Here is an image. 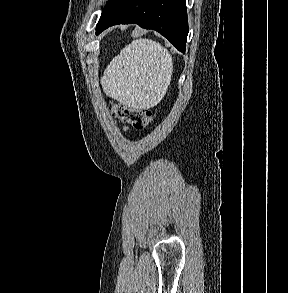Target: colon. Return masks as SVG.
Returning <instances> with one entry per match:
<instances>
[{
	"label": "colon",
	"instance_id": "5ec220e1",
	"mask_svg": "<svg viewBox=\"0 0 288 293\" xmlns=\"http://www.w3.org/2000/svg\"><path fill=\"white\" fill-rule=\"evenodd\" d=\"M114 115L121 121L131 124L136 129H143L154 120V114L148 109L134 108L115 104L112 108Z\"/></svg>",
	"mask_w": 288,
	"mask_h": 293
}]
</instances>
